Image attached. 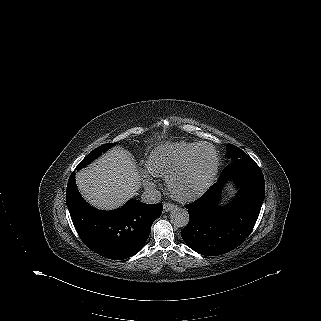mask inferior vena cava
<instances>
[{"instance_id": "inferior-vena-cava-1", "label": "inferior vena cava", "mask_w": 321, "mask_h": 321, "mask_svg": "<svg viewBox=\"0 0 321 321\" xmlns=\"http://www.w3.org/2000/svg\"><path fill=\"white\" fill-rule=\"evenodd\" d=\"M141 200L147 204L158 203L161 200V193L154 187H146L141 195Z\"/></svg>"}]
</instances>
